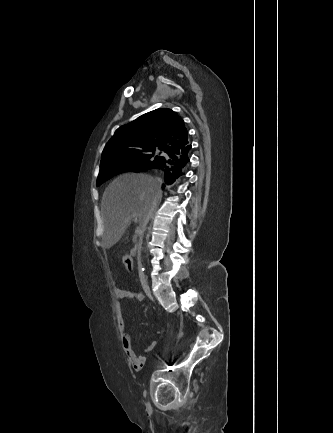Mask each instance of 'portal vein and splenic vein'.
I'll return each mask as SVG.
<instances>
[{"label": "portal vein and splenic vein", "instance_id": "18ae733b", "mask_svg": "<svg viewBox=\"0 0 333 433\" xmlns=\"http://www.w3.org/2000/svg\"><path fill=\"white\" fill-rule=\"evenodd\" d=\"M132 219H133L135 222H138V218H137L136 214H132ZM135 233H136L138 236H141V235H142V230H141L140 228H137L136 231H135ZM135 246H137V244H136Z\"/></svg>", "mask_w": 333, "mask_h": 433}]
</instances>
